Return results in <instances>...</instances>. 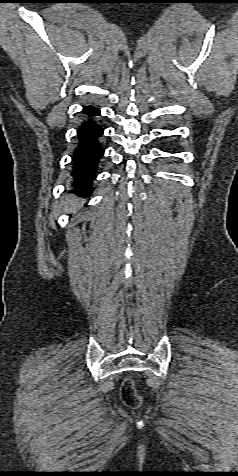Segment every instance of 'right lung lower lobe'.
I'll list each match as a JSON object with an SVG mask.
<instances>
[{
  "mask_svg": "<svg viewBox=\"0 0 238 476\" xmlns=\"http://www.w3.org/2000/svg\"><path fill=\"white\" fill-rule=\"evenodd\" d=\"M86 119L77 130L78 146L73 156V178L79 183L91 186L96 177L100 159L104 155V148L100 143L104 129L97 123L100 116L99 109L88 106L83 109Z\"/></svg>",
  "mask_w": 238,
  "mask_h": 476,
  "instance_id": "98d812e1",
  "label": "right lung lower lobe"
}]
</instances>
